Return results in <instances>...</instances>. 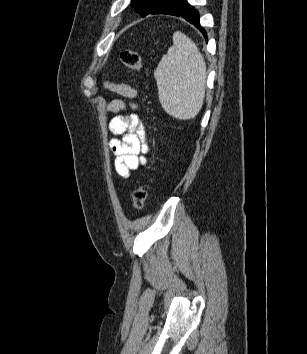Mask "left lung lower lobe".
<instances>
[{
	"instance_id": "1",
	"label": "left lung lower lobe",
	"mask_w": 307,
	"mask_h": 354,
	"mask_svg": "<svg viewBox=\"0 0 307 354\" xmlns=\"http://www.w3.org/2000/svg\"><path fill=\"white\" fill-rule=\"evenodd\" d=\"M154 14H168L182 17L198 28L206 38L207 33L200 25L199 13L187 0H169L162 9Z\"/></svg>"
}]
</instances>
